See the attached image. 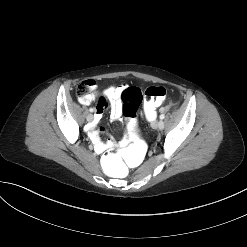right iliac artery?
<instances>
[{"mask_svg":"<svg viewBox=\"0 0 247 247\" xmlns=\"http://www.w3.org/2000/svg\"><path fill=\"white\" fill-rule=\"evenodd\" d=\"M89 111H90V112H94V109H93V108H90Z\"/></svg>","mask_w":247,"mask_h":247,"instance_id":"1","label":"right iliac artery"}]
</instances>
